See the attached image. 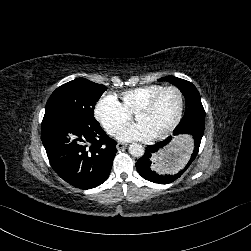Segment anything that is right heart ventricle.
I'll use <instances>...</instances> for the list:
<instances>
[{
	"instance_id": "right-heart-ventricle-1",
	"label": "right heart ventricle",
	"mask_w": 251,
	"mask_h": 251,
	"mask_svg": "<svg viewBox=\"0 0 251 251\" xmlns=\"http://www.w3.org/2000/svg\"><path fill=\"white\" fill-rule=\"evenodd\" d=\"M164 87L161 84H148L126 90L122 94L123 105L129 111H136L139 106Z\"/></svg>"
}]
</instances>
